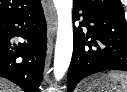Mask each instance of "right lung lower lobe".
I'll use <instances>...</instances> for the list:
<instances>
[{"mask_svg": "<svg viewBox=\"0 0 127 92\" xmlns=\"http://www.w3.org/2000/svg\"><path fill=\"white\" fill-rule=\"evenodd\" d=\"M22 37L17 42L14 37ZM46 52V21L41 6L0 21V76L25 92H39Z\"/></svg>", "mask_w": 127, "mask_h": 92, "instance_id": "1", "label": "right lung lower lobe"}]
</instances>
